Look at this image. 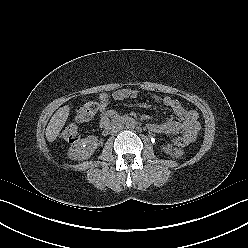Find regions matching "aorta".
<instances>
[{
	"label": "aorta",
	"mask_w": 248,
	"mask_h": 248,
	"mask_svg": "<svg viewBox=\"0 0 248 248\" xmlns=\"http://www.w3.org/2000/svg\"><path fill=\"white\" fill-rule=\"evenodd\" d=\"M137 123L134 119H130L126 122L125 126L127 129L132 130L136 127Z\"/></svg>",
	"instance_id": "762f6f07"
}]
</instances>
